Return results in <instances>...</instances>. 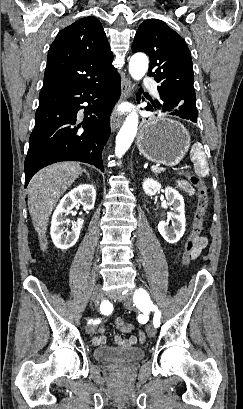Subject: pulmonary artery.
I'll use <instances>...</instances> for the list:
<instances>
[{
  "label": "pulmonary artery",
  "instance_id": "obj_1",
  "mask_svg": "<svg viewBox=\"0 0 243 409\" xmlns=\"http://www.w3.org/2000/svg\"><path fill=\"white\" fill-rule=\"evenodd\" d=\"M143 84H144L146 87H148V88L152 91V93H153L154 95H158L156 83H155V81H154L152 78H150V77L144 78Z\"/></svg>",
  "mask_w": 243,
  "mask_h": 409
}]
</instances>
